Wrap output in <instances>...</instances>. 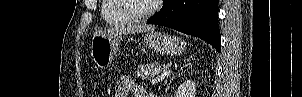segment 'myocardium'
<instances>
[{
    "mask_svg": "<svg viewBox=\"0 0 302 97\" xmlns=\"http://www.w3.org/2000/svg\"><path fill=\"white\" fill-rule=\"evenodd\" d=\"M126 1L127 0H116V4L119 11H121L131 21H143L152 16L158 9V3L153 2L147 11L141 14H136L129 9L128 5L126 4Z\"/></svg>",
    "mask_w": 302,
    "mask_h": 97,
    "instance_id": "f54148a6",
    "label": "myocardium"
}]
</instances>
